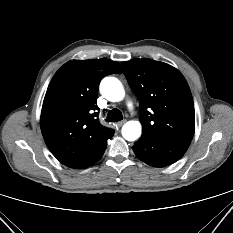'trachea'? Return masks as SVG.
I'll return each instance as SVG.
<instances>
[{"instance_id": "obj_1", "label": "trachea", "mask_w": 233, "mask_h": 233, "mask_svg": "<svg viewBox=\"0 0 233 233\" xmlns=\"http://www.w3.org/2000/svg\"><path fill=\"white\" fill-rule=\"evenodd\" d=\"M123 119L122 113L119 109H112L108 112L106 121L117 122Z\"/></svg>"}]
</instances>
